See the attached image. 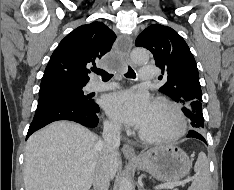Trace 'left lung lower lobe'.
I'll return each instance as SVG.
<instances>
[{
    "instance_id": "0a47b994",
    "label": "left lung lower lobe",
    "mask_w": 234,
    "mask_h": 190,
    "mask_svg": "<svg viewBox=\"0 0 234 190\" xmlns=\"http://www.w3.org/2000/svg\"><path fill=\"white\" fill-rule=\"evenodd\" d=\"M187 137L196 138V139H199V140L203 141L204 143H206L205 138L197 130H190L189 133H188V135H187Z\"/></svg>"
}]
</instances>
